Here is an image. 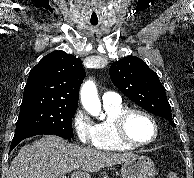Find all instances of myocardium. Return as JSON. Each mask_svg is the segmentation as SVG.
<instances>
[{
	"label": "myocardium",
	"mask_w": 194,
	"mask_h": 178,
	"mask_svg": "<svg viewBox=\"0 0 194 178\" xmlns=\"http://www.w3.org/2000/svg\"><path fill=\"white\" fill-rule=\"evenodd\" d=\"M133 114H140L146 117L153 125L154 127V137L148 141V142H136L133 139H131L127 133L126 124L128 119ZM114 130L117 139L124 145L133 147V148H139V147H145L153 144L157 141L159 137V126L155 119V117L149 113L146 110L139 109V108H126L121 113H119L113 121Z\"/></svg>",
	"instance_id": "f54148a6"
}]
</instances>
